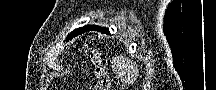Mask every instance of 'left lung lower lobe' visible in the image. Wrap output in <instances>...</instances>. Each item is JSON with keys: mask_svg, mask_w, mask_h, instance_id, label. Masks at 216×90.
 Instances as JSON below:
<instances>
[{"mask_svg": "<svg viewBox=\"0 0 216 90\" xmlns=\"http://www.w3.org/2000/svg\"><path fill=\"white\" fill-rule=\"evenodd\" d=\"M90 30H96V31H100L102 33L109 34V30L107 28H105V27H97V26H90L87 29H85L84 31H82L81 33H84L86 31H90ZM81 33H79V34H81Z\"/></svg>", "mask_w": 216, "mask_h": 90, "instance_id": "1", "label": "left lung lower lobe"}]
</instances>
